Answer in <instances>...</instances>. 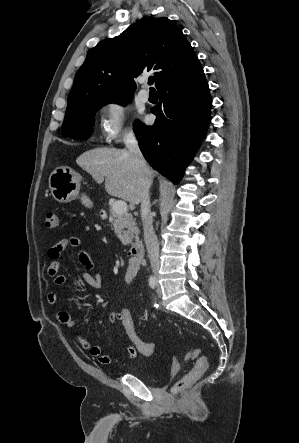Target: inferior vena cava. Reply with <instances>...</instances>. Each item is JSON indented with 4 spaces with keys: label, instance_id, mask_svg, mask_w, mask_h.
<instances>
[{
    "label": "inferior vena cava",
    "instance_id": "1",
    "mask_svg": "<svg viewBox=\"0 0 299 443\" xmlns=\"http://www.w3.org/2000/svg\"><path fill=\"white\" fill-rule=\"evenodd\" d=\"M125 145L128 151L132 154L135 167L139 173V180L142 188L141 218L144 230V240L152 271L156 275L160 267V262L159 242L153 229V218L151 215V204L149 195V190L152 184V177L150 170L140 151L135 134L132 131L126 134Z\"/></svg>",
    "mask_w": 299,
    "mask_h": 443
}]
</instances>
